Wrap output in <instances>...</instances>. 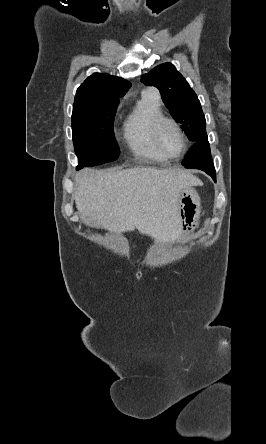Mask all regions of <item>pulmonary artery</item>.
<instances>
[{
  "instance_id": "pulmonary-artery-1",
  "label": "pulmonary artery",
  "mask_w": 266,
  "mask_h": 444,
  "mask_svg": "<svg viewBox=\"0 0 266 444\" xmlns=\"http://www.w3.org/2000/svg\"><path fill=\"white\" fill-rule=\"evenodd\" d=\"M149 91L157 94V91L155 89H150Z\"/></svg>"
}]
</instances>
